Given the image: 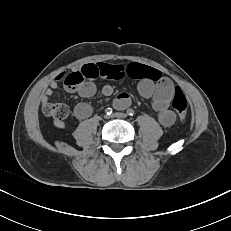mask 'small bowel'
Returning a JSON list of instances; mask_svg holds the SVG:
<instances>
[{"label":"small bowel","mask_w":231,"mask_h":231,"mask_svg":"<svg viewBox=\"0 0 231 231\" xmlns=\"http://www.w3.org/2000/svg\"><path fill=\"white\" fill-rule=\"evenodd\" d=\"M149 69L153 68L139 63H131L127 66L106 63L85 64L79 69V72L86 81L78 88V94L83 98L93 96L96 92L93 80L97 78L121 79L125 76H130L139 80V94L144 98L152 99V106L159 122L163 126L169 127L175 122V115L169 108L175 86L170 79L162 76L159 71L161 75L160 79L153 80L148 73ZM65 77L66 73L62 72L49 82L48 87L44 91L42 101H48L49 97H51L54 90L58 87L59 82ZM101 93L103 96H110L113 93V89L111 86L105 85ZM130 102L131 98L127 93H120L114 100V106L118 109H124L129 106ZM91 114L92 108L87 103H79L74 108V116L79 120H84ZM55 125L61 129L65 128V124L62 121L56 120Z\"/></svg>","instance_id":"obj_1"}]
</instances>
